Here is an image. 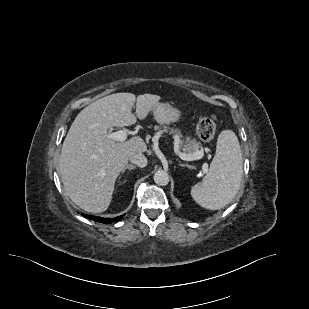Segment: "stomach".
<instances>
[{"label": "stomach", "instance_id": "obj_1", "mask_svg": "<svg viewBox=\"0 0 309 309\" xmlns=\"http://www.w3.org/2000/svg\"><path fill=\"white\" fill-rule=\"evenodd\" d=\"M153 115L159 124L164 125L178 122L182 117V112L167 103H158L153 108Z\"/></svg>", "mask_w": 309, "mask_h": 309}]
</instances>
